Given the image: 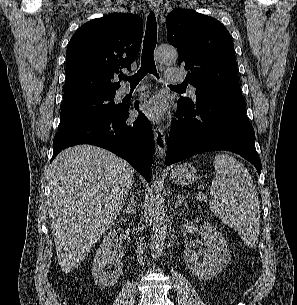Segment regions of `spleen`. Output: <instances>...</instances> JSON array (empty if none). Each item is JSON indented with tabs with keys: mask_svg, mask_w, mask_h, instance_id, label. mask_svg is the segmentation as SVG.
Segmentation results:
<instances>
[{
	"mask_svg": "<svg viewBox=\"0 0 297 305\" xmlns=\"http://www.w3.org/2000/svg\"><path fill=\"white\" fill-rule=\"evenodd\" d=\"M214 168L210 209L238 232L246 245L255 246L260 231V210L251 175L241 162L227 154L215 156Z\"/></svg>",
	"mask_w": 297,
	"mask_h": 305,
	"instance_id": "spleen-1",
	"label": "spleen"
}]
</instances>
